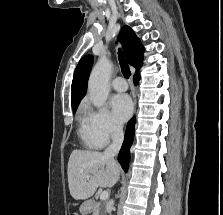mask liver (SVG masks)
I'll return each instance as SVG.
<instances>
[{
	"mask_svg": "<svg viewBox=\"0 0 223 215\" xmlns=\"http://www.w3.org/2000/svg\"><path fill=\"white\" fill-rule=\"evenodd\" d=\"M120 167L112 157L100 151L74 149L68 161V183L74 199H87L97 187H111L118 179ZM87 175H91L90 179Z\"/></svg>",
	"mask_w": 223,
	"mask_h": 215,
	"instance_id": "1",
	"label": "liver"
}]
</instances>
